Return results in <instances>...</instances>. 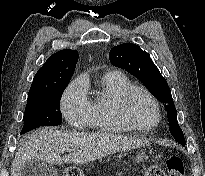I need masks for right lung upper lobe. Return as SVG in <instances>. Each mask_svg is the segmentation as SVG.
Returning <instances> with one entry per match:
<instances>
[{
    "label": "right lung upper lobe",
    "instance_id": "obj_1",
    "mask_svg": "<svg viewBox=\"0 0 205 176\" xmlns=\"http://www.w3.org/2000/svg\"><path fill=\"white\" fill-rule=\"evenodd\" d=\"M77 61L76 50L64 49L51 55L34 76L28 96L47 93L68 84Z\"/></svg>",
    "mask_w": 205,
    "mask_h": 176
}]
</instances>
